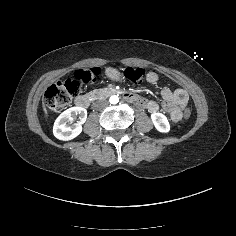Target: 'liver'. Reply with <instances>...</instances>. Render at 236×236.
<instances>
[{
    "label": "liver",
    "mask_w": 236,
    "mask_h": 236,
    "mask_svg": "<svg viewBox=\"0 0 236 236\" xmlns=\"http://www.w3.org/2000/svg\"><path fill=\"white\" fill-rule=\"evenodd\" d=\"M42 108H43L46 118H48L49 115H48L47 106L45 105V98H43Z\"/></svg>",
    "instance_id": "liver-1"
}]
</instances>
